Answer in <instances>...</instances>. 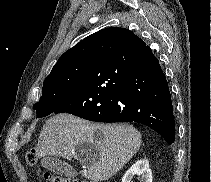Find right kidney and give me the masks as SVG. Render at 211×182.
<instances>
[{
  "label": "right kidney",
  "mask_w": 211,
  "mask_h": 182,
  "mask_svg": "<svg viewBox=\"0 0 211 182\" xmlns=\"http://www.w3.org/2000/svg\"><path fill=\"white\" fill-rule=\"evenodd\" d=\"M134 175L141 176V182H152V172L147 159H140L133 164L123 176L122 182H132Z\"/></svg>",
  "instance_id": "1"
}]
</instances>
